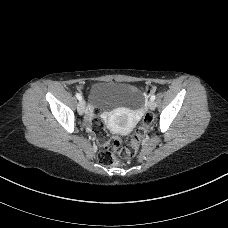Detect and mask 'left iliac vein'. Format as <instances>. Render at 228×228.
Segmentation results:
<instances>
[{"label": "left iliac vein", "instance_id": "1", "mask_svg": "<svg viewBox=\"0 0 228 228\" xmlns=\"http://www.w3.org/2000/svg\"><path fill=\"white\" fill-rule=\"evenodd\" d=\"M148 107H149L150 110H154L156 108L155 101L150 99L149 102H148Z\"/></svg>", "mask_w": 228, "mask_h": 228}]
</instances>
